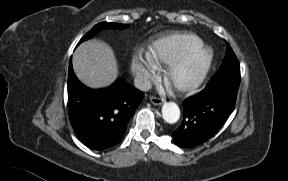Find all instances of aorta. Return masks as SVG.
I'll use <instances>...</instances> for the list:
<instances>
[{"instance_id": "obj_1", "label": "aorta", "mask_w": 288, "mask_h": 181, "mask_svg": "<svg viewBox=\"0 0 288 181\" xmlns=\"http://www.w3.org/2000/svg\"><path fill=\"white\" fill-rule=\"evenodd\" d=\"M163 119L170 124L176 123L180 118V109L174 102H167L162 107Z\"/></svg>"}]
</instances>
